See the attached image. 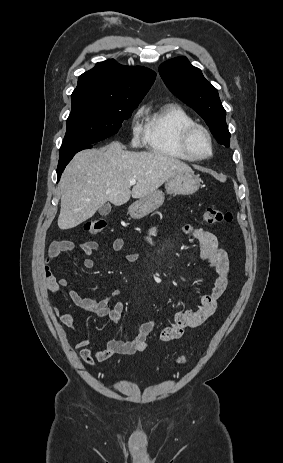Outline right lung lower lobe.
<instances>
[{"label":"right lung lower lobe","instance_id":"obj_1","mask_svg":"<svg viewBox=\"0 0 283 463\" xmlns=\"http://www.w3.org/2000/svg\"><path fill=\"white\" fill-rule=\"evenodd\" d=\"M92 145L91 144H88V145H83V146H79V147H75V148H72V149H68V150H65V151H60L59 153V163H58V168H57V178L59 180L63 170L65 169L66 165L70 162V160L73 158V156L83 150V149H87V148H91Z\"/></svg>","mask_w":283,"mask_h":463}]
</instances>
